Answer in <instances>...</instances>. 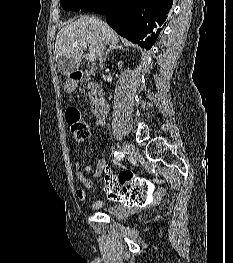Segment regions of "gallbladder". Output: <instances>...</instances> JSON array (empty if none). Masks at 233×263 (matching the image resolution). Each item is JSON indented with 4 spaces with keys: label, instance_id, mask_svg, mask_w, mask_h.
<instances>
[{
    "label": "gallbladder",
    "instance_id": "1",
    "mask_svg": "<svg viewBox=\"0 0 233 263\" xmlns=\"http://www.w3.org/2000/svg\"><path fill=\"white\" fill-rule=\"evenodd\" d=\"M56 64L58 66V71L62 72L63 71V65H64V60L63 58H60L56 61Z\"/></svg>",
    "mask_w": 233,
    "mask_h": 263
}]
</instances>
